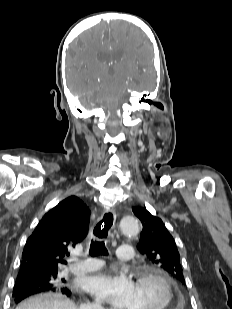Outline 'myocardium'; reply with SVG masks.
Masks as SVG:
<instances>
[{
    "label": "myocardium",
    "mask_w": 232,
    "mask_h": 309,
    "mask_svg": "<svg viewBox=\"0 0 232 309\" xmlns=\"http://www.w3.org/2000/svg\"><path fill=\"white\" fill-rule=\"evenodd\" d=\"M153 280L157 282L164 291V302L159 309H170L174 301V292L168 278L155 269H144L137 272L136 282Z\"/></svg>",
    "instance_id": "obj_1"
}]
</instances>
